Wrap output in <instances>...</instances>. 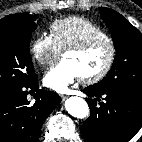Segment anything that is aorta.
Returning a JSON list of instances; mask_svg holds the SVG:
<instances>
[{
	"label": "aorta",
	"mask_w": 142,
	"mask_h": 142,
	"mask_svg": "<svg viewBox=\"0 0 142 142\" xmlns=\"http://www.w3.org/2000/svg\"><path fill=\"white\" fill-rule=\"evenodd\" d=\"M66 111L76 118H86L89 115V107L86 101L80 97L72 96L65 101Z\"/></svg>",
	"instance_id": "obj_1"
}]
</instances>
